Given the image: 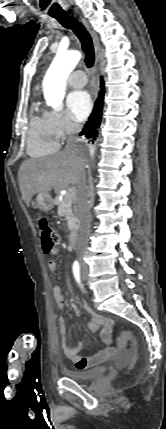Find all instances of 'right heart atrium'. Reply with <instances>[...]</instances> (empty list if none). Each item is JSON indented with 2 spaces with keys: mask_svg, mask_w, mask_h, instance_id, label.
Masks as SVG:
<instances>
[{
  "mask_svg": "<svg viewBox=\"0 0 166 429\" xmlns=\"http://www.w3.org/2000/svg\"><path fill=\"white\" fill-rule=\"evenodd\" d=\"M45 117L57 139H64L78 130V126L63 113L48 111L45 113Z\"/></svg>",
  "mask_w": 166,
  "mask_h": 429,
  "instance_id": "obj_1",
  "label": "right heart atrium"
}]
</instances>
